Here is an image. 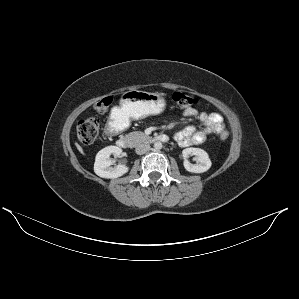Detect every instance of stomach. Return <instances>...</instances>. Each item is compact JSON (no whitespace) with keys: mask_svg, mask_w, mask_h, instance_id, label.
Wrapping results in <instances>:
<instances>
[{"mask_svg":"<svg viewBox=\"0 0 299 299\" xmlns=\"http://www.w3.org/2000/svg\"><path fill=\"white\" fill-rule=\"evenodd\" d=\"M164 108L165 99L161 93L129 90L120 99V112L128 120H138L148 115H157Z\"/></svg>","mask_w":299,"mask_h":299,"instance_id":"stomach-1","label":"stomach"}]
</instances>
